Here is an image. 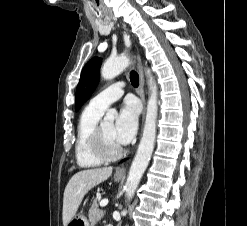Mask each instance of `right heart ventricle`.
I'll return each instance as SVG.
<instances>
[{"mask_svg": "<svg viewBox=\"0 0 247 226\" xmlns=\"http://www.w3.org/2000/svg\"><path fill=\"white\" fill-rule=\"evenodd\" d=\"M102 114L103 112L88 105L80 116L77 127L75 156L77 164L82 168H92L102 163L91 149V136Z\"/></svg>", "mask_w": 247, "mask_h": 226, "instance_id": "obj_1", "label": "right heart ventricle"}]
</instances>
